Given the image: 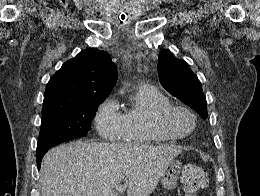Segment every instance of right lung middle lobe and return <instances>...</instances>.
<instances>
[{
  "label": "right lung middle lobe",
  "mask_w": 260,
  "mask_h": 196,
  "mask_svg": "<svg viewBox=\"0 0 260 196\" xmlns=\"http://www.w3.org/2000/svg\"><path fill=\"white\" fill-rule=\"evenodd\" d=\"M104 98L43 106L37 149L51 148L62 142L85 137L95 111Z\"/></svg>",
  "instance_id": "obj_1"
}]
</instances>
